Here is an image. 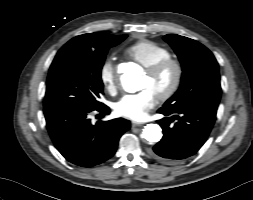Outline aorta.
I'll return each mask as SVG.
<instances>
[{
  "mask_svg": "<svg viewBox=\"0 0 253 200\" xmlns=\"http://www.w3.org/2000/svg\"><path fill=\"white\" fill-rule=\"evenodd\" d=\"M121 84L126 92L134 93L140 90V74L135 70H127L121 76ZM142 137L148 142L155 143L162 138V129L157 124H147L142 132Z\"/></svg>",
  "mask_w": 253,
  "mask_h": 200,
  "instance_id": "1",
  "label": "aorta"
}]
</instances>
